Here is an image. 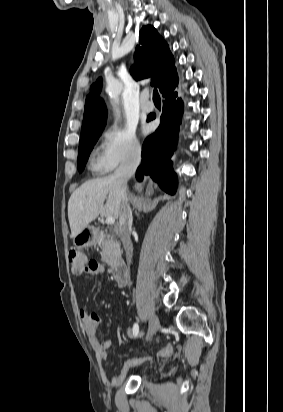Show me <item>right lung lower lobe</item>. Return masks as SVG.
I'll use <instances>...</instances> for the list:
<instances>
[{
  "mask_svg": "<svg viewBox=\"0 0 283 412\" xmlns=\"http://www.w3.org/2000/svg\"><path fill=\"white\" fill-rule=\"evenodd\" d=\"M175 85H168L161 93L165 98L160 126L148 136L142 147V160L137 170V179L150 175L168 193L174 194L177 185L176 175L172 173L170 158L177 143L181 123L183 103L177 98Z\"/></svg>",
  "mask_w": 283,
  "mask_h": 412,
  "instance_id": "1",
  "label": "right lung lower lobe"
}]
</instances>
